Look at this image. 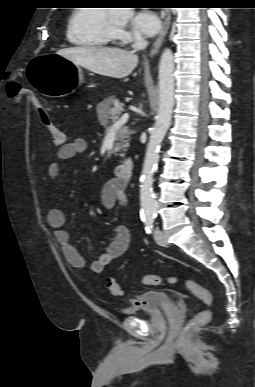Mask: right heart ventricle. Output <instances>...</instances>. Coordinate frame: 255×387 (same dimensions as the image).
<instances>
[{
  "mask_svg": "<svg viewBox=\"0 0 255 387\" xmlns=\"http://www.w3.org/2000/svg\"><path fill=\"white\" fill-rule=\"evenodd\" d=\"M115 27L107 10L102 7H80L71 13L67 24V39L74 45L99 48L113 43Z\"/></svg>",
  "mask_w": 255,
  "mask_h": 387,
  "instance_id": "e07e8e85",
  "label": "right heart ventricle"
}]
</instances>
